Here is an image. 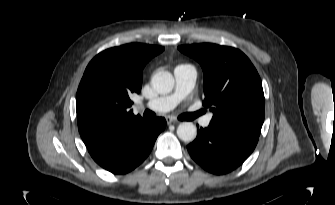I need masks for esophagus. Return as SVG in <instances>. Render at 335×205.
I'll return each instance as SVG.
<instances>
[{
    "mask_svg": "<svg viewBox=\"0 0 335 205\" xmlns=\"http://www.w3.org/2000/svg\"><path fill=\"white\" fill-rule=\"evenodd\" d=\"M166 122L167 124H172V123H177L178 121L175 118L168 116L166 117Z\"/></svg>",
    "mask_w": 335,
    "mask_h": 205,
    "instance_id": "obj_1",
    "label": "esophagus"
}]
</instances>
